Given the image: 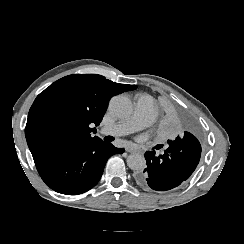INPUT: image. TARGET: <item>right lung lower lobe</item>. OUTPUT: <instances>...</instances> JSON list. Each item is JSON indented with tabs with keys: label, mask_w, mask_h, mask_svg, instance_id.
Returning <instances> with one entry per match:
<instances>
[{
	"label": "right lung lower lobe",
	"mask_w": 244,
	"mask_h": 244,
	"mask_svg": "<svg viewBox=\"0 0 244 244\" xmlns=\"http://www.w3.org/2000/svg\"><path fill=\"white\" fill-rule=\"evenodd\" d=\"M123 152L124 149L97 138L78 145L39 150L32 156L41 178L50 188L76 195L94 187L109 157Z\"/></svg>",
	"instance_id": "1"
}]
</instances>
